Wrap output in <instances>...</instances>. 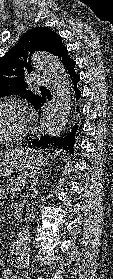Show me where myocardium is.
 Segmentation results:
<instances>
[{
  "label": "myocardium",
  "instance_id": "f54148a6",
  "mask_svg": "<svg viewBox=\"0 0 113 279\" xmlns=\"http://www.w3.org/2000/svg\"><path fill=\"white\" fill-rule=\"evenodd\" d=\"M1 105H12L19 108L25 114L26 120H25L24 129L20 134L16 136H10V137H1L0 144H8V143L19 142L23 140L28 135L30 130L29 111L27 106L22 101L16 99H1L0 106Z\"/></svg>",
  "mask_w": 113,
  "mask_h": 279
}]
</instances>
